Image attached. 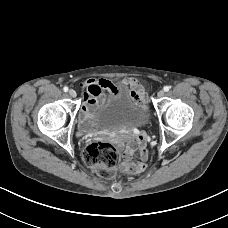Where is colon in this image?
<instances>
[{"instance_id":"5ec220e1","label":"colon","mask_w":228,"mask_h":228,"mask_svg":"<svg viewBox=\"0 0 228 228\" xmlns=\"http://www.w3.org/2000/svg\"><path fill=\"white\" fill-rule=\"evenodd\" d=\"M86 164L98 175L110 178L116 173L121 158L119 149L107 142L89 144L83 154Z\"/></svg>"}]
</instances>
